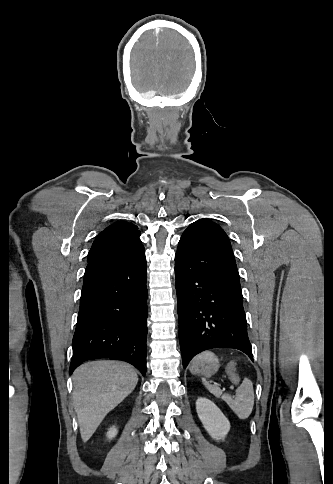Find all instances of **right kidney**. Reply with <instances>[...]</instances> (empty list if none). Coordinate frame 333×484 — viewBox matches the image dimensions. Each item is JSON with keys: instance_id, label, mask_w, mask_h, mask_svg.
Listing matches in <instances>:
<instances>
[{"instance_id": "right-kidney-1", "label": "right kidney", "mask_w": 333, "mask_h": 484, "mask_svg": "<svg viewBox=\"0 0 333 484\" xmlns=\"http://www.w3.org/2000/svg\"><path fill=\"white\" fill-rule=\"evenodd\" d=\"M117 434V429L115 427H112L109 429V431L107 432V437L109 439H112L113 437H115Z\"/></svg>"}]
</instances>
